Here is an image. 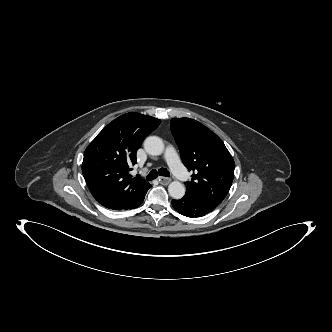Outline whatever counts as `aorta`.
Here are the masks:
<instances>
[{
    "label": "aorta",
    "mask_w": 332,
    "mask_h": 332,
    "mask_svg": "<svg viewBox=\"0 0 332 332\" xmlns=\"http://www.w3.org/2000/svg\"><path fill=\"white\" fill-rule=\"evenodd\" d=\"M144 148L149 155H161L164 151V143L157 136H149L144 141ZM168 192L173 199H181L185 195V187L179 181H173L168 186Z\"/></svg>",
    "instance_id": "aorta-1"
}]
</instances>
